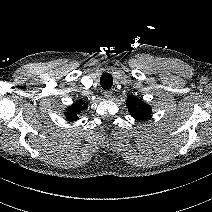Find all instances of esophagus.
Instances as JSON below:
<instances>
[{"label": "esophagus", "instance_id": "obj_1", "mask_svg": "<svg viewBox=\"0 0 212 212\" xmlns=\"http://www.w3.org/2000/svg\"><path fill=\"white\" fill-rule=\"evenodd\" d=\"M103 95L106 99H112L113 92L111 90H105L103 91Z\"/></svg>", "mask_w": 212, "mask_h": 212}]
</instances>
